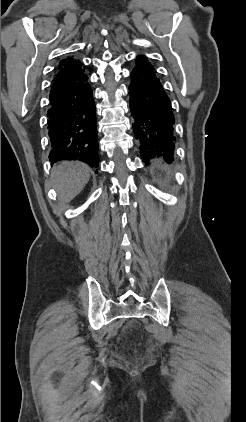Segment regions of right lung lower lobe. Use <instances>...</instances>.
I'll list each match as a JSON object with an SVG mask.
<instances>
[{
    "label": "right lung lower lobe",
    "instance_id": "obj_1",
    "mask_svg": "<svg viewBox=\"0 0 246 422\" xmlns=\"http://www.w3.org/2000/svg\"><path fill=\"white\" fill-rule=\"evenodd\" d=\"M85 74L81 79L50 92L48 130L51 164L79 160L99 167L96 111Z\"/></svg>",
    "mask_w": 246,
    "mask_h": 422
}]
</instances>
